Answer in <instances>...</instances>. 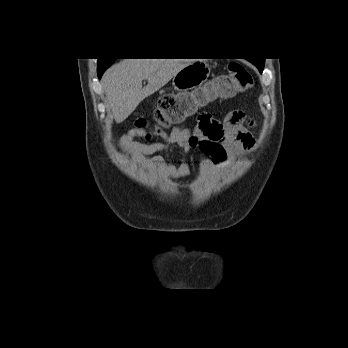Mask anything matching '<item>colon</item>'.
<instances>
[{"label":"colon","mask_w":348,"mask_h":348,"mask_svg":"<svg viewBox=\"0 0 348 348\" xmlns=\"http://www.w3.org/2000/svg\"><path fill=\"white\" fill-rule=\"evenodd\" d=\"M253 84L252 74L242 64L233 62L228 67V73L219 76L208 88L214 90L220 97H228L250 90ZM194 108L188 95H162L153 113L154 124L150 126L145 118L137 117L133 131L142 138L151 139L171 125L183 121Z\"/></svg>","instance_id":"colon-1"}]
</instances>
